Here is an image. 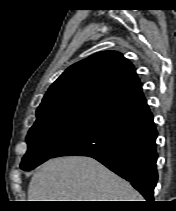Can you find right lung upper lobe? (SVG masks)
<instances>
[{"mask_svg": "<svg viewBox=\"0 0 176 211\" xmlns=\"http://www.w3.org/2000/svg\"><path fill=\"white\" fill-rule=\"evenodd\" d=\"M146 104L135 68L116 51L70 66L49 88L36 114L51 112L102 120Z\"/></svg>", "mask_w": 176, "mask_h": 211, "instance_id": "right-lung-upper-lobe-1", "label": "right lung upper lobe"}]
</instances>
